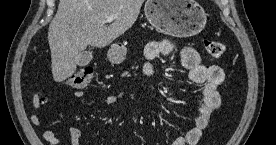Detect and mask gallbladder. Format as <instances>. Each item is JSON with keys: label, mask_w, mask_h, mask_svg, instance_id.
<instances>
[{"label": "gallbladder", "mask_w": 276, "mask_h": 145, "mask_svg": "<svg viewBox=\"0 0 276 145\" xmlns=\"http://www.w3.org/2000/svg\"><path fill=\"white\" fill-rule=\"evenodd\" d=\"M92 52L90 50L88 51H83L80 55V59L78 61V66H86L90 63V61L92 60Z\"/></svg>", "instance_id": "1"}]
</instances>
